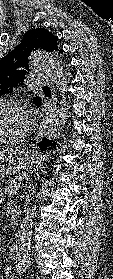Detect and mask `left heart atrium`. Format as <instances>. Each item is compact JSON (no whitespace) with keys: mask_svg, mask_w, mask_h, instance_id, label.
<instances>
[{"mask_svg":"<svg viewBox=\"0 0 113 279\" xmlns=\"http://www.w3.org/2000/svg\"><path fill=\"white\" fill-rule=\"evenodd\" d=\"M33 118H34V113L32 110H29L27 112V120H28V123H31L33 121Z\"/></svg>","mask_w":113,"mask_h":279,"instance_id":"1","label":"left heart atrium"}]
</instances>
